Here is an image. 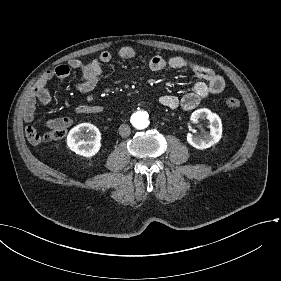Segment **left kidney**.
<instances>
[{
    "label": "left kidney",
    "mask_w": 281,
    "mask_h": 281,
    "mask_svg": "<svg viewBox=\"0 0 281 281\" xmlns=\"http://www.w3.org/2000/svg\"><path fill=\"white\" fill-rule=\"evenodd\" d=\"M192 119H206L210 124V132L203 138H197L189 134L187 140L191 146L198 150H205L216 145L222 135V122L218 114L203 108L196 110L191 115Z\"/></svg>",
    "instance_id": "1"
}]
</instances>
